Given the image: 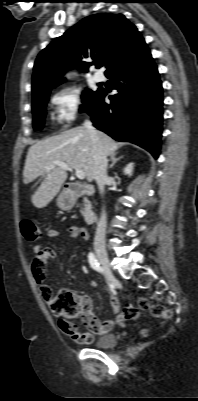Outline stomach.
Returning a JSON list of instances; mask_svg holds the SVG:
<instances>
[{"label": "stomach", "instance_id": "0dacf381", "mask_svg": "<svg viewBox=\"0 0 198 401\" xmlns=\"http://www.w3.org/2000/svg\"><path fill=\"white\" fill-rule=\"evenodd\" d=\"M57 205L62 210H70L74 205V200L62 192L57 198Z\"/></svg>", "mask_w": 198, "mask_h": 401}]
</instances>
